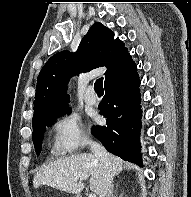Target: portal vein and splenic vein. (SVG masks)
I'll return each instance as SVG.
<instances>
[{
	"label": "portal vein and splenic vein",
	"instance_id": "portal-vein-and-splenic-vein-1",
	"mask_svg": "<svg viewBox=\"0 0 191 197\" xmlns=\"http://www.w3.org/2000/svg\"><path fill=\"white\" fill-rule=\"evenodd\" d=\"M89 197H96V194H90Z\"/></svg>",
	"mask_w": 191,
	"mask_h": 197
}]
</instances>
